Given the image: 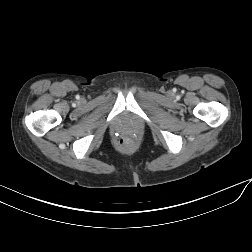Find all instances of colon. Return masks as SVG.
I'll return each mask as SVG.
<instances>
[{
    "mask_svg": "<svg viewBox=\"0 0 252 252\" xmlns=\"http://www.w3.org/2000/svg\"><path fill=\"white\" fill-rule=\"evenodd\" d=\"M118 145L122 150H129L132 148V142L127 138L120 139Z\"/></svg>",
    "mask_w": 252,
    "mask_h": 252,
    "instance_id": "1",
    "label": "colon"
}]
</instances>
